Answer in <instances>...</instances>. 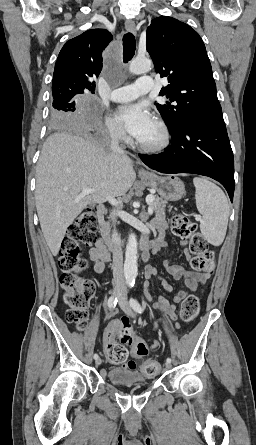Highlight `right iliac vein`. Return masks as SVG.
<instances>
[{
	"mask_svg": "<svg viewBox=\"0 0 256 445\" xmlns=\"http://www.w3.org/2000/svg\"><path fill=\"white\" fill-rule=\"evenodd\" d=\"M120 294H121V293H119V292H114V295H115V296H118V297H119ZM101 363H102L101 358H97V359H96V365H100Z\"/></svg>",
	"mask_w": 256,
	"mask_h": 445,
	"instance_id": "63e3f726",
	"label": "right iliac vein"
}]
</instances>
